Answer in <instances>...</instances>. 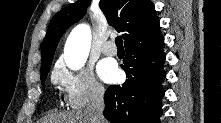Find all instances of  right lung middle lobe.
Instances as JSON below:
<instances>
[{
  "label": "right lung middle lobe",
  "instance_id": "obj_1",
  "mask_svg": "<svg viewBox=\"0 0 221 123\" xmlns=\"http://www.w3.org/2000/svg\"><path fill=\"white\" fill-rule=\"evenodd\" d=\"M50 66H51V63L41 70V82H42V84H44V81L46 80L47 74L50 70Z\"/></svg>",
  "mask_w": 221,
  "mask_h": 123
}]
</instances>
